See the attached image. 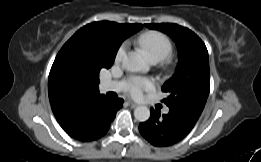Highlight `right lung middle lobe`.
Masks as SVG:
<instances>
[{"mask_svg":"<svg viewBox=\"0 0 261 162\" xmlns=\"http://www.w3.org/2000/svg\"><path fill=\"white\" fill-rule=\"evenodd\" d=\"M127 38L115 28H96L70 38L57 54L48 86L58 94H73L99 83V71L110 68Z\"/></svg>","mask_w":261,"mask_h":162,"instance_id":"right-lung-middle-lobe-1","label":"right lung middle lobe"}]
</instances>
